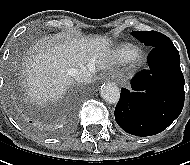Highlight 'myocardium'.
Wrapping results in <instances>:
<instances>
[{
    "mask_svg": "<svg viewBox=\"0 0 190 165\" xmlns=\"http://www.w3.org/2000/svg\"><path fill=\"white\" fill-rule=\"evenodd\" d=\"M143 60H144V57L141 52H136L131 58V61L134 65H140L143 62Z\"/></svg>",
    "mask_w": 190,
    "mask_h": 165,
    "instance_id": "1",
    "label": "myocardium"
}]
</instances>
